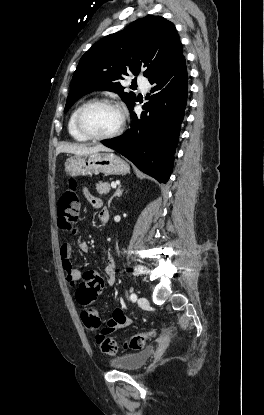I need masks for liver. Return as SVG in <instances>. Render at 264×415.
<instances>
[{"instance_id":"obj_1","label":"liver","mask_w":264,"mask_h":415,"mask_svg":"<svg viewBox=\"0 0 264 415\" xmlns=\"http://www.w3.org/2000/svg\"><path fill=\"white\" fill-rule=\"evenodd\" d=\"M111 150L103 145H96L93 147H87L84 145H72V144H65L60 145L56 149V153H71L75 155H88L92 153L98 152H110Z\"/></svg>"}]
</instances>
